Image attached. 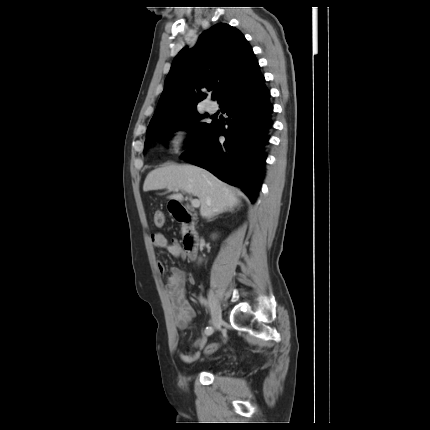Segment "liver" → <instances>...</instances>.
Returning a JSON list of instances; mask_svg holds the SVG:
<instances>
[{
    "label": "liver",
    "instance_id": "liver-1",
    "mask_svg": "<svg viewBox=\"0 0 430 430\" xmlns=\"http://www.w3.org/2000/svg\"><path fill=\"white\" fill-rule=\"evenodd\" d=\"M168 189L182 190L199 198L203 218L232 209L239 204L233 190L209 171L193 165H166L151 171L143 185V191ZM170 199L182 201V194Z\"/></svg>",
    "mask_w": 430,
    "mask_h": 430
}]
</instances>
